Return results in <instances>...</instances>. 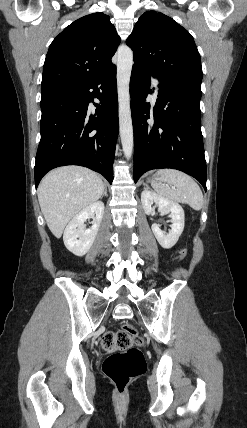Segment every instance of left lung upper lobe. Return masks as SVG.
I'll list each match as a JSON object with an SVG mask.
<instances>
[{"label":"left lung upper lobe","mask_w":247,"mask_h":428,"mask_svg":"<svg viewBox=\"0 0 247 428\" xmlns=\"http://www.w3.org/2000/svg\"><path fill=\"white\" fill-rule=\"evenodd\" d=\"M140 65L162 82L202 94L200 54L191 34L172 18L156 11L145 12L127 39Z\"/></svg>","instance_id":"left-lung-upper-lobe-1"}]
</instances>
